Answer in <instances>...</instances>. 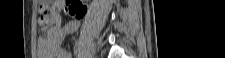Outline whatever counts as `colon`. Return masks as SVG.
<instances>
[{
	"mask_svg": "<svg viewBox=\"0 0 225 58\" xmlns=\"http://www.w3.org/2000/svg\"><path fill=\"white\" fill-rule=\"evenodd\" d=\"M47 2L48 1H40V13H45L47 10ZM69 9L68 13L71 17L75 19H81L86 12V7L84 6L82 1L75 0V1H68Z\"/></svg>",
	"mask_w": 225,
	"mask_h": 58,
	"instance_id": "1",
	"label": "colon"
}]
</instances>
